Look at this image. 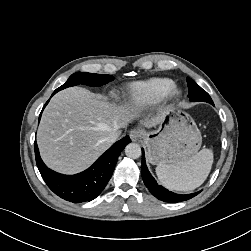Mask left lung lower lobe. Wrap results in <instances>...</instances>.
Here are the masks:
<instances>
[{
    "label": "left lung lower lobe",
    "mask_w": 251,
    "mask_h": 251,
    "mask_svg": "<svg viewBox=\"0 0 251 251\" xmlns=\"http://www.w3.org/2000/svg\"><path fill=\"white\" fill-rule=\"evenodd\" d=\"M141 174L143 181L146 185V187L150 190V192L159 200L164 201V202H181L185 201L188 199L193 198L196 196L199 192L192 193V194H187V195H180L173 193L171 191H168L164 187L160 186L157 184L155 179L152 177L150 172L148 171V168L146 166L145 162V156H144V150L142 149V168H141Z\"/></svg>",
    "instance_id": "1"
}]
</instances>
